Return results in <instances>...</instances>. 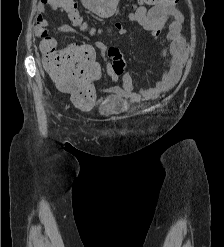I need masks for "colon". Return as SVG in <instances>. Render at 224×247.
I'll use <instances>...</instances> for the list:
<instances>
[{"instance_id":"obj_1","label":"colon","mask_w":224,"mask_h":247,"mask_svg":"<svg viewBox=\"0 0 224 247\" xmlns=\"http://www.w3.org/2000/svg\"><path fill=\"white\" fill-rule=\"evenodd\" d=\"M140 3L150 6L168 7L178 0H139ZM60 9L63 11L72 26L93 33L81 19L77 12L75 0H60ZM51 44L52 38L45 36ZM52 45L46 56L44 65L52 79L60 86L72 93L73 102L82 108H89L97 103L94 90L90 83L100 75V67L94 61V51L89 46L73 47L63 53H54ZM107 56L111 60V68L115 74H121L125 69V62L120 51L110 48Z\"/></svg>"}]
</instances>
